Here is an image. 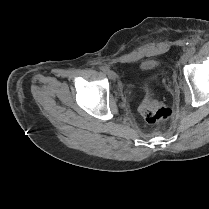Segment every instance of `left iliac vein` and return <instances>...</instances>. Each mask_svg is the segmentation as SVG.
<instances>
[{
  "instance_id": "left-iliac-vein-1",
  "label": "left iliac vein",
  "mask_w": 209,
  "mask_h": 209,
  "mask_svg": "<svg viewBox=\"0 0 209 209\" xmlns=\"http://www.w3.org/2000/svg\"><path fill=\"white\" fill-rule=\"evenodd\" d=\"M189 57H190L189 53H184L180 60L181 64H185L188 61Z\"/></svg>"
}]
</instances>
